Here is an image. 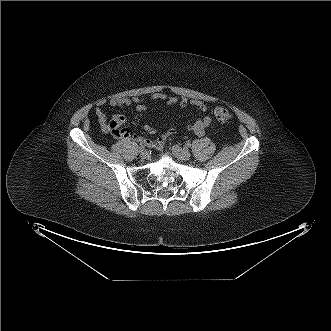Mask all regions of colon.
I'll return each instance as SVG.
<instances>
[{
	"label": "colon",
	"instance_id": "5ec220e1",
	"mask_svg": "<svg viewBox=\"0 0 331 331\" xmlns=\"http://www.w3.org/2000/svg\"><path fill=\"white\" fill-rule=\"evenodd\" d=\"M212 115L216 118L221 124H229L232 120V113L229 109L223 106H217L213 108Z\"/></svg>",
	"mask_w": 331,
	"mask_h": 331
}]
</instances>
